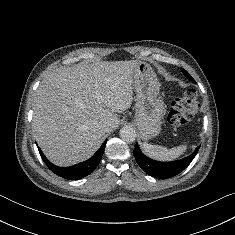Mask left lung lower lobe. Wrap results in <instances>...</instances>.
<instances>
[{
  "instance_id": "left-lung-lower-lobe-1",
  "label": "left lung lower lobe",
  "mask_w": 235,
  "mask_h": 235,
  "mask_svg": "<svg viewBox=\"0 0 235 235\" xmlns=\"http://www.w3.org/2000/svg\"><path fill=\"white\" fill-rule=\"evenodd\" d=\"M200 146L188 157L174 162H158L146 157L136 144L133 155L139 166L150 176L160 179L171 178L182 172L194 159Z\"/></svg>"
}]
</instances>
